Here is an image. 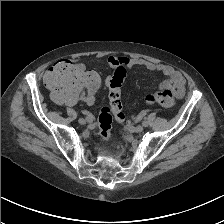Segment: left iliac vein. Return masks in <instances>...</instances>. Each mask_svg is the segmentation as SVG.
Listing matches in <instances>:
<instances>
[{"instance_id": "1", "label": "left iliac vein", "mask_w": 224, "mask_h": 224, "mask_svg": "<svg viewBox=\"0 0 224 224\" xmlns=\"http://www.w3.org/2000/svg\"><path fill=\"white\" fill-rule=\"evenodd\" d=\"M143 126L142 125H138L137 127H135V132L136 133H140V132H142L143 131Z\"/></svg>"}]
</instances>
